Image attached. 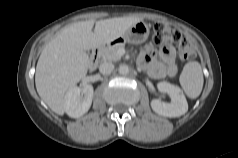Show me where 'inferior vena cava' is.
<instances>
[{
    "mask_svg": "<svg viewBox=\"0 0 238 158\" xmlns=\"http://www.w3.org/2000/svg\"><path fill=\"white\" fill-rule=\"evenodd\" d=\"M114 69V65L110 62H104L100 64L99 71L102 74H110Z\"/></svg>",
    "mask_w": 238,
    "mask_h": 158,
    "instance_id": "1",
    "label": "inferior vena cava"
}]
</instances>
